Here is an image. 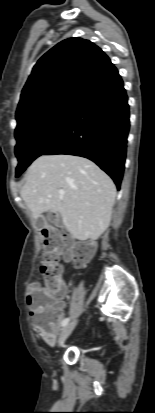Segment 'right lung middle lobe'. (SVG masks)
Returning <instances> with one entry per match:
<instances>
[{"label":"right lung middle lobe","instance_id":"right-lung-middle-lobe-1","mask_svg":"<svg viewBox=\"0 0 155 413\" xmlns=\"http://www.w3.org/2000/svg\"><path fill=\"white\" fill-rule=\"evenodd\" d=\"M76 106L77 104L61 105L16 128L15 154L19 162L16 177L61 135Z\"/></svg>","mask_w":155,"mask_h":413}]
</instances>
